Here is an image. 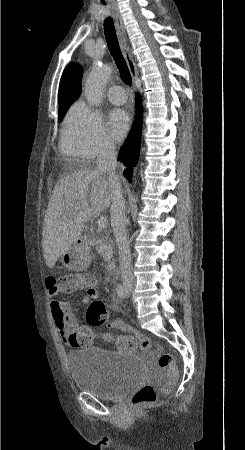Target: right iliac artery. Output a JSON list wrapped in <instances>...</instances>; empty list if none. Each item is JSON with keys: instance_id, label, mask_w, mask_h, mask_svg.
<instances>
[{"instance_id": "obj_1", "label": "right iliac artery", "mask_w": 245, "mask_h": 450, "mask_svg": "<svg viewBox=\"0 0 245 450\" xmlns=\"http://www.w3.org/2000/svg\"><path fill=\"white\" fill-rule=\"evenodd\" d=\"M116 292L117 295L121 298L124 299L125 298V293H124V288L121 284H118L117 288H116Z\"/></svg>"}]
</instances>
